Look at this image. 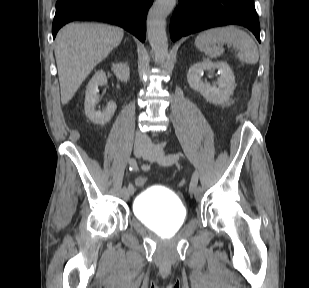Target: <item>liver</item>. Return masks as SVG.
<instances>
[{
    "label": "liver",
    "mask_w": 309,
    "mask_h": 288,
    "mask_svg": "<svg viewBox=\"0 0 309 288\" xmlns=\"http://www.w3.org/2000/svg\"><path fill=\"white\" fill-rule=\"evenodd\" d=\"M123 29L98 23H70L55 39L61 102L67 104L96 65L122 41Z\"/></svg>",
    "instance_id": "obj_1"
}]
</instances>
